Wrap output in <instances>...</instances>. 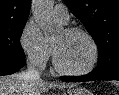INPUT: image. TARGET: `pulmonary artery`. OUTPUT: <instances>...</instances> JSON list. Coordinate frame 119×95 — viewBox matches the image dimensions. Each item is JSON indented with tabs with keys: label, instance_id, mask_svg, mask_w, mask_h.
Here are the masks:
<instances>
[{
	"label": "pulmonary artery",
	"instance_id": "obj_1",
	"mask_svg": "<svg viewBox=\"0 0 119 95\" xmlns=\"http://www.w3.org/2000/svg\"><path fill=\"white\" fill-rule=\"evenodd\" d=\"M54 16L59 21L66 23L69 20V12L65 5L57 4L54 7Z\"/></svg>",
	"mask_w": 119,
	"mask_h": 95
}]
</instances>
